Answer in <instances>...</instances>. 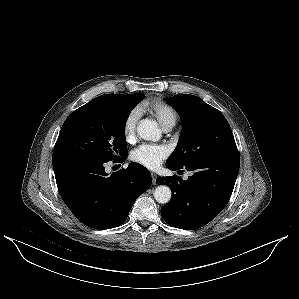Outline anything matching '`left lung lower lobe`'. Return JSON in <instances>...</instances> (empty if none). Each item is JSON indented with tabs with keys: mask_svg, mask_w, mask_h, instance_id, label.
<instances>
[{
	"mask_svg": "<svg viewBox=\"0 0 299 299\" xmlns=\"http://www.w3.org/2000/svg\"><path fill=\"white\" fill-rule=\"evenodd\" d=\"M240 156L236 149L225 150L184 168L194 174L186 181L180 177H158L157 184L172 190V199L161 208L163 219L173 227L194 230L213 220L227 205L237 178ZM171 170L183 167L167 165Z\"/></svg>",
	"mask_w": 299,
	"mask_h": 299,
	"instance_id": "0a47b994",
	"label": "left lung lower lobe"
}]
</instances>
